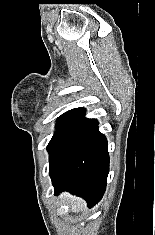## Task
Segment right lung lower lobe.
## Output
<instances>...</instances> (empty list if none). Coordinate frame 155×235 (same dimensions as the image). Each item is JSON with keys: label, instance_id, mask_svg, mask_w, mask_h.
Returning a JSON list of instances; mask_svg holds the SVG:
<instances>
[{"label": "right lung lower lobe", "instance_id": "right-lung-lower-lobe-1", "mask_svg": "<svg viewBox=\"0 0 155 235\" xmlns=\"http://www.w3.org/2000/svg\"><path fill=\"white\" fill-rule=\"evenodd\" d=\"M97 125L72 142L49 170L55 194L70 191L89 206L102 198L109 172L107 140Z\"/></svg>", "mask_w": 155, "mask_h": 235}]
</instances>
